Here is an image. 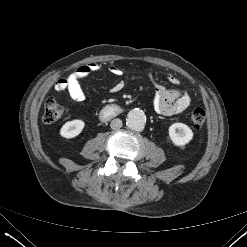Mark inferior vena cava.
<instances>
[{
	"label": "inferior vena cava",
	"mask_w": 247,
	"mask_h": 247,
	"mask_svg": "<svg viewBox=\"0 0 247 247\" xmlns=\"http://www.w3.org/2000/svg\"><path fill=\"white\" fill-rule=\"evenodd\" d=\"M122 125H123L122 120L119 118L113 119L110 123V127L112 129H119L122 127Z\"/></svg>",
	"instance_id": "602c4592"
}]
</instances>
